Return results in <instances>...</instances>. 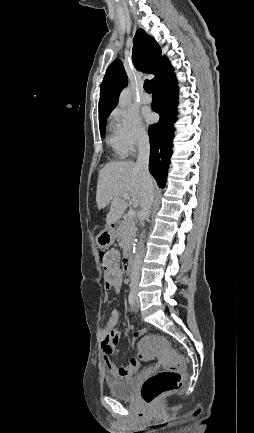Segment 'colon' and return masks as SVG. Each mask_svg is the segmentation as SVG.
Segmentation results:
<instances>
[{"label":"colon","instance_id":"1","mask_svg":"<svg viewBox=\"0 0 254 433\" xmlns=\"http://www.w3.org/2000/svg\"><path fill=\"white\" fill-rule=\"evenodd\" d=\"M99 257L107 276L117 277L121 275L119 254L116 250L103 251ZM152 347L166 349L167 341L163 337L151 336L141 344L143 350ZM169 359V366L166 369L152 375L143 383L141 397L146 403H154L164 394L179 389L183 385L185 362L173 354L169 355Z\"/></svg>","mask_w":254,"mask_h":433}]
</instances>
